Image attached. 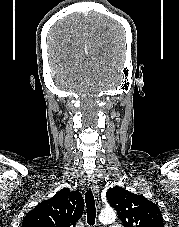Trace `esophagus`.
<instances>
[{"mask_svg":"<svg viewBox=\"0 0 179 227\" xmlns=\"http://www.w3.org/2000/svg\"><path fill=\"white\" fill-rule=\"evenodd\" d=\"M89 185L92 188V191H93V194H94V197H95V201H96V205L99 208L100 205H101V201H100V198H99L98 185H97L96 181L92 178L89 180Z\"/></svg>","mask_w":179,"mask_h":227,"instance_id":"obj_1","label":"esophagus"}]
</instances>
